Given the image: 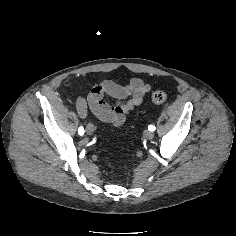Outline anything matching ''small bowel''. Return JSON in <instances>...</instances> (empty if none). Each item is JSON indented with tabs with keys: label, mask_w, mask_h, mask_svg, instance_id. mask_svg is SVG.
<instances>
[{
	"label": "small bowel",
	"mask_w": 236,
	"mask_h": 236,
	"mask_svg": "<svg viewBox=\"0 0 236 236\" xmlns=\"http://www.w3.org/2000/svg\"><path fill=\"white\" fill-rule=\"evenodd\" d=\"M150 90V85L141 78H133L127 84L107 79L95 84L87 99L79 98L76 109L81 118H86L89 108L102 122L120 126L127 115L143 102Z\"/></svg>",
	"instance_id": "small-bowel-1"
}]
</instances>
